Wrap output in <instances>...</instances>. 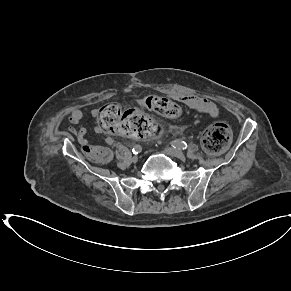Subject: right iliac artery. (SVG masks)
Returning <instances> with one entry per match:
<instances>
[{
    "instance_id": "right-iliac-artery-1",
    "label": "right iliac artery",
    "mask_w": 291,
    "mask_h": 291,
    "mask_svg": "<svg viewBox=\"0 0 291 291\" xmlns=\"http://www.w3.org/2000/svg\"><path fill=\"white\" fill-rule=\"evenodd\" d=\"M141 150H142V148H141L140 145H135L134 148L132 149V152H133L134 154H138V153L141 152Z\"/></svg>"
}]
</instances>
